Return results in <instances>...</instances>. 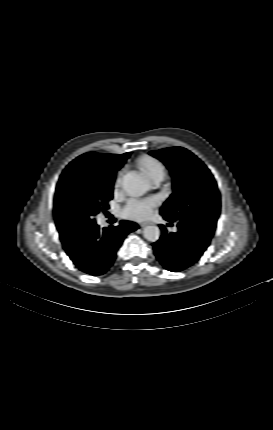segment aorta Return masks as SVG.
Segmentation results:
<instances>
[{
    "label": "aorta",
    "mask_w": 273,
    "mask_h": 430,
    "mask_svg": "<svg viewBox=\"0 0 273 430\" xmlns=\"http://www.w3.org/2000/svg\"><path fill=\"white\" fill-rule=\"evenodd\" d=\"M123 189L133 197H139L150 189V182L137 172H129L123 176ZM144 238L150 242H156L160 237L158 226H146L143 230Z\"/></svg>",
    "instance_id": "1"
}]
</instances>
